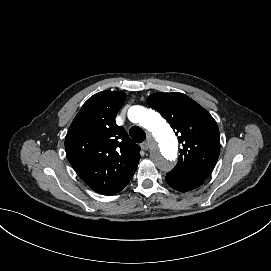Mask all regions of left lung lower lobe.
Listing matches in <instances>:
<instances>
[{
  "label": "left lung lower lobe",
  "mask_w": 271,
  "mask_h": 271,
  "mask_svg": "<svg viewBox=\"0 0 271 271\" xmlns=\"http://www.w3.org/2000/svg\"><path fill=\"white\" fill-rule=\"evenodd\" d=\"M168 185L173 189L181 192L192 191L200 187L206 179L191 178L182 175H176L168 172L165 177Z\"/></svg>",
  "instance_id": "1"
}]
</instances>
